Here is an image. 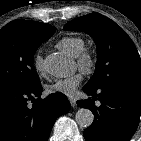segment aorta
Segmentation results:
<instances>
[{
  "instance_id": "aorta-1",
  "label": "aorta",
  "mask_w": 141,
  "mask_h": 141,
  "mask_svg": "<svg viewBox=\"0 0 141 141\" xmlns=\"http://www.w3.org/2000/svg\"><path fill=\"white\" fill-rule=\"evenodd\" d=\"M46 71L59 78L67 77L73 71L71 62L58 54H51L45 58L44 61ZM76 122L81 127H89L94 120V115L91 110L80 108L76 112Z\"/></svg>"
}]
</instances>
